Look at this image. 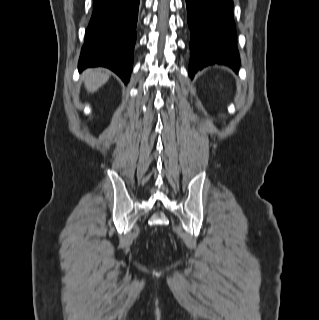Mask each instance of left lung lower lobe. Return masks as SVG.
Returning <instances> with one entry per match:
<instances>
[{
  "instance_id": "1",
  "label": "left lung lower lobe",
  "mask_w": 319,
  "mask_h": 320,
  "mask_svg": "<svg viewBox=\"0 0 319 320\" xmlns=\"http://www.w3.org/2000/svg\"><path fill=\"white\" fill-rule=\"evenodd\" d=\"M191 31L189 76L211 64L238 70L233 0H186Z\"/></svg>"
}]
</instances>
